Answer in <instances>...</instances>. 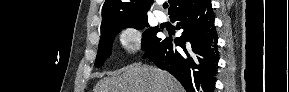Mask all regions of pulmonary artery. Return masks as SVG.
<instances>
[{
	"label": "pulmonary artery",
	"mask_w": 289,
	"mask_h": 92,
	"mask_svg": "<svg viewBox=\"0 0 289 92\" xmlns=\"http://www.w3.org/2000/svg\"><path fill=\"white\" fill-rule=\"evenodd\" d=\"M155 17L159 22H165L167 19L166 15L161 11H156Z\"/></svg>",
	"instance_id": "obj_1"
}]
</instances>
